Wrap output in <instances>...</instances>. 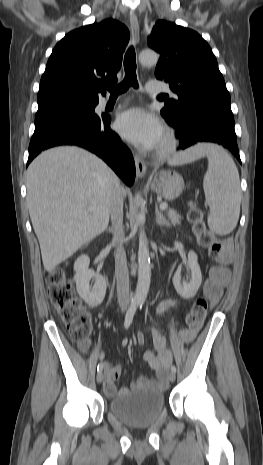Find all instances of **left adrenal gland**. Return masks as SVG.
<instances>
[{"label":"left adrenal gland","instance_id":"a2214340","mask_svg":"<svg viewBox=\"0 0 263 465\" xmlns=\"http://www.w3.org/2000/svg\"><path fill=\"white\" fill-rule=\"evenodd\" d=\"M156 223L160 226H169V222L166 220L163 213L159 210L158 205H155Z\"/></svg>","mask_w":263,"mask_h":465}]
</instances>
